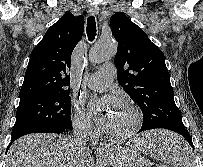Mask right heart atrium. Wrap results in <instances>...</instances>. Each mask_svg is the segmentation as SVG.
<instances>
[{
    "instance_id": "1",
    "label": "right heart atrium",
    "mask_w": 203,
    "mask_h": 167,
    "mask_svg": "<svg viewBox=\"0 0 203 167\" xmlns=\"http://www.w3.org/2000/svg\"><path fill=\"white\" fill-rule=\"evenodd\" d=\"M73 125L76 129L81 131H90L93 128L91 117L81 108L76 102L73 105Z\"/></svg>"
}]
</instances>
